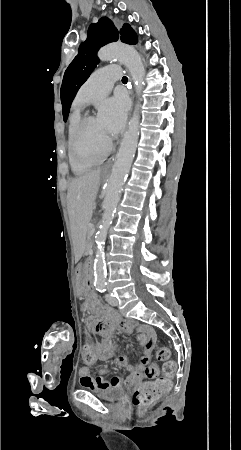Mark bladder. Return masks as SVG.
Segmentation results:
<instances>
[{"label": "bladder", "mask_w": 241, "mask_h": 450, "mask_svg": "<svg viewBox=\"0 0 241 450\" xmlns=\"http://www.w3.org/2000/svg\"><path fill=\"white\" fill-rule=\"evenodd\" d=\"M97 395L105 400L119 401L124 398L125 392L122 388L110 387L97 392Z\"/></svg>", "instance_id": "1"}]
</instances>
